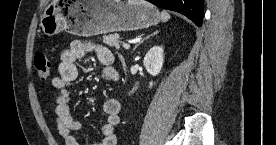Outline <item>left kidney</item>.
<instances>
[{
	"label": "left kidney",
	"instance_id": "1",
	"mask_svg": "<svg viewBox=\"0 0 276 145\" xmlns=\"http://www.w3.org/2000/svg\"><path fill=\"white\" fill-rule=\"evenodd\" d=\"M164 49L160 46L152 47L144 57L143 64L147 72L152 76H157L163 67ZM153 86V82L149 83V87Z\"/></svg>",
	"mask_w": 276,
	"mask_h": 145
}]
</instances>
